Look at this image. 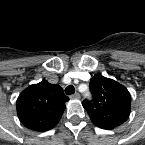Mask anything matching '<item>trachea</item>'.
<instances>
[{"label":"trachea","mask_w":145,"mask_h":145,"mask_svg":"<svg viewBox=\"0 0 145 145\" xmlns=\"http://www.w3.org/2000/svg\"><path fill=\"white\" fill-rule=\"evenodd\" d=\"M65 93H66L67 95L74 94V93H75V88H74V86H72V85L67 86V87L65 88Z\"/></svg>","instance_id":"3493384b"}]
</instances>
